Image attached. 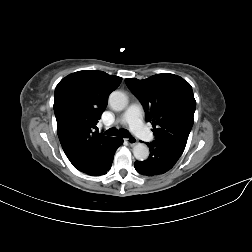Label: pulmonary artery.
<instances>
[{"mask_svg":"<svg viewBox=\"0 0 252 252\" xmlns=\"http://www.w3.org/2000/svg\"><path fill=\"white\" fill-rule=\"evenodd\" d=\"M141 107L139 104L130 105L123 113L121 121L127 124L130 130L143 140H151L152 133L144 126L140 119Z\"/></svg>","mask_w":252,"mask_h":252,"instance_id":"e3ab8cb5","label":"pulmonary artery"}]
</instances>
